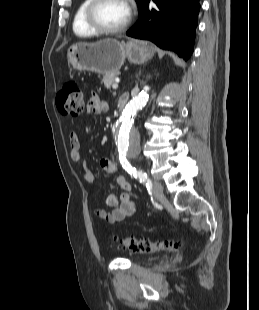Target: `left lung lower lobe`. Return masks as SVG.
<instances>
[{
  "instance_id": "1",
  "label": "left lung lower lobe",
  "mask_w": 259,
  "mask_h": 310,
  "mask_svg": "<svg viewBox=\"0 0 259 310\" xmlns=\"http://www.w3.org/2000/svg\"><path fill=\"white\" fill-rule=\"evenodd\" d=\"M150 0H142L139 19L126 34L146 39L163 49L176 52L187 60L194 49L200 0H153L156 7H149Z\"/></svg>"
}]
</instances>
